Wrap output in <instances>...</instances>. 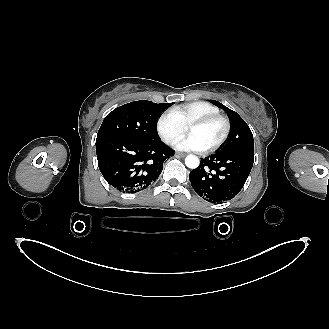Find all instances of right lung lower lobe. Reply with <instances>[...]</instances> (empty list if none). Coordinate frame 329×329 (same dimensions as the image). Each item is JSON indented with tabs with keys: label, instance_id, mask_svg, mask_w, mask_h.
Masks as SVG:
<instances>
[{
	"label": "right lung lower lobe",
	"instance_id": "98d812e1",
	"mask_svg": "<svg viewBox=\"0 0 329 329\" xmlns=\"http://www.w3.org/2000/svg\"><path fill=\"white\" fill-rule=\"evenodd\" d=\"M99 169L106 181L123 193H136L153 184L165 159L174 151L161 140H138L116 135L96 139Z\"/></svg>",
	"mask_w": 329,
	"mask_h": 329
}]
</instances>
